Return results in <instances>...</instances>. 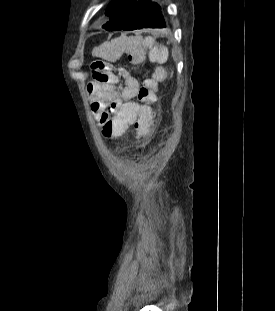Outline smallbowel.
<instances>
[{"label":"small bowel","instance_id":"1","mask_svg":"<svg viewBox=\"0 0 275 311\" xmlns=\"http://www.w3.org/2000/svg\"><path fill=\"white\" fill-rule=\"evenodd\" d=\"M96 54L104 59L126 57L133 61V67H146V57L155 65L151 78L157 85L166 76L165 67L172 61L166 46L156 45L153 37H126L103 43ZM138 82L125 69H118L103 82L95 81L87 85V94L91 101V110L102 126V119L129 118L133 133L137 139H154L156 123L149 101H134L138 97ZM120 135L126 130H119Z\"/></svg>","mask_w":275,"mask_h":311}]
</instances>
